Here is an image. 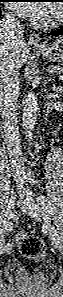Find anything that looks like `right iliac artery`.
I'll use <instances>...</instances> for the list:
<instances>
[{
    "mask_svg": "<svg viewBox=\"0 0 63 297\" xmlns=\"http://www.w3.org/2000/svg\"><path fill=\"white\" fill-rule=\"evenodd\" d=\"M4 229L7 230V231H11L13 226H12V223L11 222H8L6 220H4ZM4 229H2L1 231H3Z\"/></svg>",
    "mask_w": 63,
    "mask_h": 297,
    "instance_id": "1",
    "label": "right iliac artery"
}]
</instances>
